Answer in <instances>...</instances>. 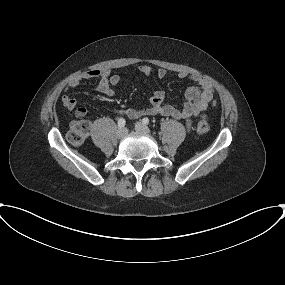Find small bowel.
Instances as JSON below:
<instances>
[{
  "instance_id": "c3829d8e",
  "label": "small bowel",
  "mask_w": 285,
  "mask_h": 285,
  "mask_svg": "<svg viewBox=\"0 0 285 285\" xmlns=\"http://www.w3.org/2000/svg\"><path fill=\"white\" fill-rule=\"evenodd\" d=\"M138 70L141 74L146 76L152 73V68L149 65H141ZM156 75L162 79L166 76V70L159 68L156 71ZM177 76L180 79H188L193 83L185 92L186 101L182 107L165 104V93L163 91H156L152 94L149 105L146 108L119 109L115 110V112L129 118H139L144 115L171 116L176 119L184 120L189 129L194 117L205 111L209 105L215 104L214 88L210 81L200 75L179 72ZM94 78L99 79L96 87L97 91L108 97L115 95L114 86H117L121 81L119 75L111 74L108 70L98 69L89 70L73 77L66 86L62 96V103L68 110H75V114L78 117H84L86 110L82 107L77 108V101L69 94V90L77 87L84 81Z\"/></svg>"
}]
</instances>
